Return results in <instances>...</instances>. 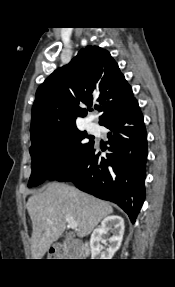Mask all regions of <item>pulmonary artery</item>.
<instances>
[{"mask_svg":"<svg viewBox=\"0 0 175 287\" xmlns=\"http://www.w3.org/2000/svg\"><path fill=\"white\" fill-rule=\"evenodd\" d=\"M87 129L91 133H96L98 128H97V125L95 123L90 122L87 124Z\"/></svg>","mask_w":175,"mask_h":287,"instance_id":"obj_1","label":"pulmonary artery"}]
</instances>
